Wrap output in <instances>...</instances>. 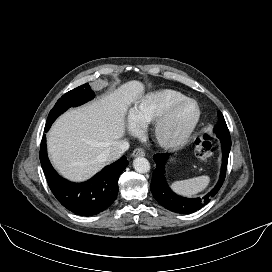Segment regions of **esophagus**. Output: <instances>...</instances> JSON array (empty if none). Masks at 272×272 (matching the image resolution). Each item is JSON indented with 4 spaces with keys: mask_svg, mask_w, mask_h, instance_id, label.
<instances>
[{
    "mask_svg": "<svg viewBox=\"0 0 272 272\" xmlns=\"http://www.w3.org/2000/svg\"><path fill=\"white\" fill-rule=\"evenodd\" d=\"M145 155V151L142 148H136L133 152H132V156L133 157H140V156H144Z\"/></svg>",
    "mask_w": 272,
    "mask_h": 272,
    "instance_id": "obj_1",
    "label": "esophagus"
}]
</instances>
